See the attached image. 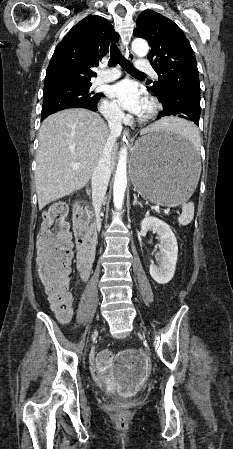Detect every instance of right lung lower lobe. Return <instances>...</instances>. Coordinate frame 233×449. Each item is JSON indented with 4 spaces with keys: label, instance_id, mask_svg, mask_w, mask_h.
<instances>
[{
    "label": "right lung lower lobe",
    "instance_id": "98d812e1",
    "mask_svg": "<svg viewBox=\"0 0 233 449\" xmlns=\"http://www.w3.org/2000/svg\"><path fill=\"white\" fill-rule=\"evenodd\" d=\"M91 110L97 111V108H96V109H91ZM46 117H47V116H42V117H41V120L43 121Z\"/></svg>",
    "mask_w": 233,
    "mask_h": 449
}]
</instances>
